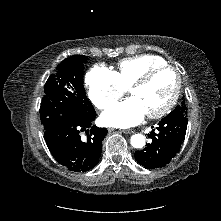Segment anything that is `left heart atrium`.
<instances>
[{"label":"left heart atrium","mask_w":221,"mask_h":221,"mask_svg":"<svg viewBox=\"0 0 221 221\" xmlns=\"http://www.w3.org/2000/svg\"><path fill=\"white\" fill-rule=\"evenodd\" d=\"M146 112L140 101L131 97L111 105L103 114L102 121L107 126L127 128L141 122Z\"/></svg>","instance_id":"obj_1"}]
</instances>
